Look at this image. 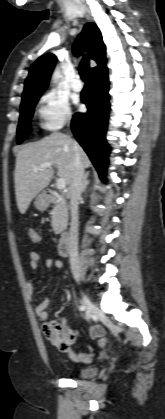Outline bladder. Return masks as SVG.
Masks as SVG:
<instances>
[{
  "instance_id": "1",
  "label": "bladder",
  "mask_w": 165,
  "mask_h": 419,
  "mask_svg": "<svg viewBox=\"0 0 165 419\" xmlns=\"http://www.w3.org/2000/svg\"><path fill=\"white\" fill-rule=\"evenodd\" d=\"M97 373V368L93 366L84 367L76 372L78 378H91Z\"/></svg>"
}]
</instances>
